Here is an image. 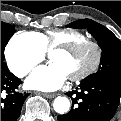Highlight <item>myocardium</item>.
<instances>
[{"label": "myocardium", "instance_id": "myocardium-1", "mask_svg": "<svg viewBox=\"0 0 121 121\" xmlns=\"http://www.w3.org/2000/svg\"><path fill=\"white\" fill-rule=\"evenodd\" d=\"M86 49H91L94 52L93 61L82 71L79 73L68 77L70 82H80L93 75L98 68L100 67L103 59V49L102 46L96 42L91 40H84L80 42H76L70 45H58L52 48L51 52L60 51L67 54H75L78 52H83Z\"/></svg>", "mask_w": 121, "mask_h": 121}]
</instances>
